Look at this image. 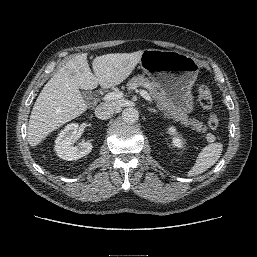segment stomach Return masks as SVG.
<instances>
[{"label":"stomach","mask_w":257,"mask_h":257,"mask_svg":"<svg viewBox=\"0 0 257 257\" xmlns=\"http://www.w3.org/2000/svg\"><path fill=\"white\" fill-rule=\"evenodd\" d=\"M139 63L176 110L185 114L193 112L194 96L191 90L200 69L196 58L178 51L145 49Z\"/></svg>","instance_id":"stomach-1"}]
</instances>
